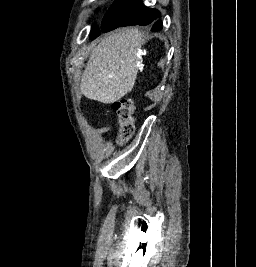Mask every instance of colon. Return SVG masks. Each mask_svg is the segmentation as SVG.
Returning <instances> with one entry per match:
<instances>
[{"instance_id":"obj_1","label":"colon","mask_w":256,"mask_h":267,"mask_svg":"<svg viewBox=\"0 0 256 267\" xmlns=\"http://www.w3.org/2000/svg\"><path fill=\"white\" fill-rule=\"evenodd\" d=\"M112 107L120 116V140L126 142L132 137L135 130L133 123L135 104L132 99L124 98L115 101Z\"/></svg>"}]
</instances>
